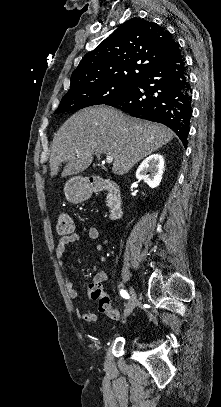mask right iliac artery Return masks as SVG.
I'll return each instance as SVG.
<instances>
[{
    "label": "right iliac artery",
    "mask_w": 221,
    "mask_h": 407,
    "mask_svg": "<svg viewBox=\"0 0 221 407\" xmlns=\"http://www.w3.org/2000/svg\"><path fill=\"white\" fill-rule=\"evenodd\" d=\"M120 294H121V296L123 297V298H125V299H129L130 297H129V294L125 291V290H121L120 291Z\"/></svg>",
    "instance_id": "obj_1"
}]
</instances>
